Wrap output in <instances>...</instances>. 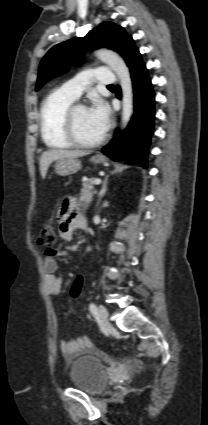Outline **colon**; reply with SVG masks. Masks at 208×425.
<instances>
[{
  "label": "colon",
  "mask_w": 208,
  "mask_h": 425,
  "mask_svg": "<svg viewBox=\"0 0 208 425\" xmlns=\"http://www.w3.org/2000/svg\"><path fill=\"white\" fill-rule=\"evenodd\" d=\"M55 242H56V233L54 229L50 226L43 227L38 238V243L41 246L51 248L54 246ZM83 287H84V277L82 275H78L75 278L70 289L71 297L79 298L82 294Z\"/></svg>",
  "instance_id": "colon-1"
}]
</instances>
